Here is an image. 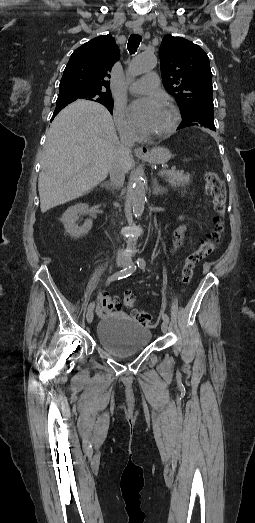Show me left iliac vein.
Listing matches in <instances>:
<instances>
[{
  "mask_svg": "<svg viewBox=\"0 0 255 523\" xmlns=\"http://www.w3.org/2000/svg\"><path fill=\"white\" fill-rule=\"evenodd\" d=\"M128 265H131V263H128ZM161 330L163 333H166L168 331V323L163 321L161 324Z\"/></svg>",
  "mask_w": 255,
  "mask_h": 523,
  "instance_id": "4c4485c4",
  "label": "left iliac vein"
}]
</instances>
